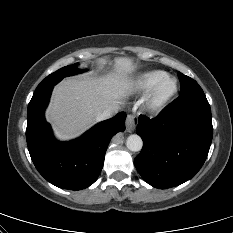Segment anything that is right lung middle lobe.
<instances>
[{"label":"right lung middle lobe","instance_id":"right-lung-middle-lobe-1","mask_svg":"<svg viewBox=\"0 0 233 233\" xmlns=\"http://www.w3.org/2000/svg\"><path fill=\"white\" fill-rule=\"evenodd\" d=\"M78 63H75L71 66H65L56 72L48 75L45 79L42 80V82L37 86L34 93L40 92L41 90H44L49 87H53L55 84H57L60 80H62L66 76L75 75L77 73H80L81 70L77 68Z\"/></svg>","mask_w":233,"mask_h":233}]
</instances>
